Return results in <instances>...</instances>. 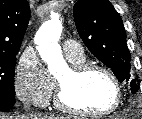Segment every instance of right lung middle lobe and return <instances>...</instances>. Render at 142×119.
<instances>
[{"instance_id": "obj_1", "label": "right lung middle lobe", "mask_w": 142, "mask_h": 119, "mask_svg": "<svg viewBox=\"0 0 142 119\" xmlns=\"http://www.w3.org/2000/svg\"><path fill=\"white\" fill-rule=\"evenodd\" d=\"M18 52H0V97L15 100L14 76Z\"/></svg>"}]
</instances>
